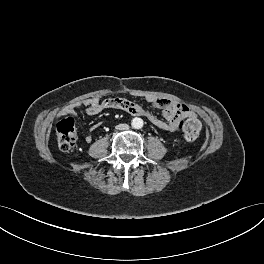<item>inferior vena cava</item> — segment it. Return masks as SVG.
Returning a JSON list of instances; mask_svg holds the SVG:
<instances>
[{
    "instance_id": "1",
    "label": "inferior vena cava",
    "mask_w": 264,
    "mask_h": 264,
    "mask_svg": "<svg viewBox=\"0 0 264 264\" xmlns=\"http://www.w3.org/2000/svg\"><path fill=\"white\" fill-rule=\"evenodd\" d=\"M117 130H126L129 128L128 124H119L115 127Z\"/></svg>"
}]
</instances>
